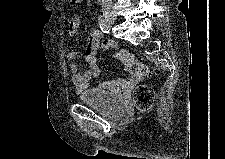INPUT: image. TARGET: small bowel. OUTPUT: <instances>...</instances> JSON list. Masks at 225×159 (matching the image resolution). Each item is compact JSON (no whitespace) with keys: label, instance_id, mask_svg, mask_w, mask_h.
Here are the masks:
<instances>
[{"label":"small bowel","instance_id":"1","mask_svg":"<svg viewBox=\"0 0 225 159\" xmlns=\"http://www.w3.org/2000/svg\"><path fill=\"white\" fill-rule=\"evenodd\" d=\"M79 26V20L77 17H74L69 22V34L74 35L77 32ZM103 38V33L100 29H94L87 41V45L82 53L85 62L89 65L88 69L81 72L79 71V66L74 60L80 55V52L77 50H70L67 53V59L70 61L69 63V71L72 75V82L77 90V92H81L86 89L88 83L91 79L98 75L99 73V53L101 49H117V44L111 40H104L101 42ZM133 80H130L128 84L130 85ZM123 80L117 81H106L103 82L100 87L114 89L119 85H122Z\"/></svg>","mask_w":225,"mask_h":159}]
</instances>
